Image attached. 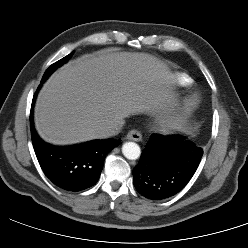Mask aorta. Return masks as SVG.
<instances>
[{
	"label": "aorta",
	"mask_w": 248,
	"mask_h": 248,
	"mask_svg": "<svg viewBox=\"0 0 248 248\" xmlns=\"http://www.w3.org/2000/svg\"><path fill=\"white\" fill-rule=\"evenodd\" d=\"M123 155L129 160H136L140 157L141 149L135 142H126L122 146Z\"/></svg>",
	"instance_id": "aorta-1"
}]
</instances>
